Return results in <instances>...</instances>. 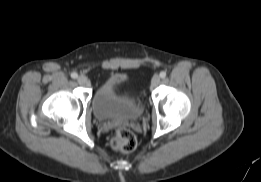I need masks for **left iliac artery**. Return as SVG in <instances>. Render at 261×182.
Returning <instances> with one entry per match:
<instances>
[{
	"mask_svg": "<svg viewBox=\"0 0 261 182\" xmlns=\"http://www.w3.org/2000/svg\"><path fill=\"white\" fill-rule=\"evenodd\" d=\"M160 77L161 78H165L166 77V72L165 71L160 72Z\"/></svg>",
	"mask_w": 261,
	"mask_h": 182,
	"instance_id": "1",
	"label": "left iliac artery"
}]
</instances>
